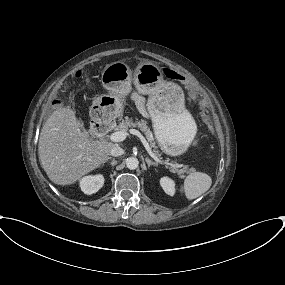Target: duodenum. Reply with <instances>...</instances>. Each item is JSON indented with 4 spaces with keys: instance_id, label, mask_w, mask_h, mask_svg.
Listing matches in <instances>:
<instances>
[{
    "instance_id": "410a0bca",
    "label": "duodenum",
    "mask_w": 285,
    "mask_h": 285,
    "mask_svg": "<svg viewBox=\"0 0 285 285\" xmlns=\"http://www.w3.org/2000/svg\"><path fill=\"white\" fill-rule=\"evenodd\" d=\"M106 128H107V126H106V125H103V126L101 127V130L104 131V130H106Z\"/></svg>"
}]
</instances>
